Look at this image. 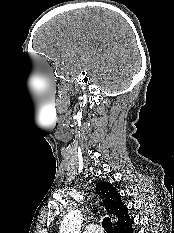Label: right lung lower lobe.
Returning a JSON list of instances; mask_svg holds the SVG:
<instances>
[{"mask_svg": "<svg viewBox=\"0 0 174 233\" xmlns=\"http://www.w3.org/2000/svg\"><path fill=\"white\" fill-rule=\"evenodd\" d=\"M133 223L131 225H129L128 227H126L125 229H123L122 231H120V233H133Z\"/></svg>", "mask_w": 174, "mask_h": 233, "instance_id": "1", "label": "right lung lower lobe"}]
</instances>
